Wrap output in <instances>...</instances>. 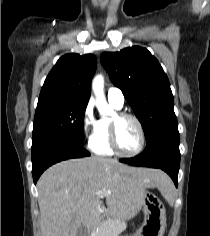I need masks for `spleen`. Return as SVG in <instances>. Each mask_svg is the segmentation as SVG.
<instances>
[{"label":"spleen","mask_w":210,"mask_h":236,"mask_svg":"<svg viewBox=\"0 0 210 236\" xmlns=\"http://www.w3.org/2000/svg\"><path fill=\"white\" fill-rule=\"evenodd\" d=\"M172 189H173V187H172V184H171V183L168 184V185H166V195H167V196H170V195H171Z\"/></svg>","instance_id":"obj_1"}]
</instances>
